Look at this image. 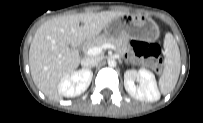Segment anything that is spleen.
Returning <instances> with one entry per match:
<instances>
[{"mask_svg": "<svg viewBox=\"0 0 203 123\" xmlns=\"http://www.w3.org/2000/svg\"><path fill=\"white\" fill-rule=\"evenodd\" d=\"M166 68L159 79V87L163 94L173 91L177 84L180 69L181 58L177 43L172 39L167 43L166 49Z\"/></svg>", "mask_w": 203, "mask_h": 123, "instance_id": "obj_1", "label": "spleen"}]
</instances>
